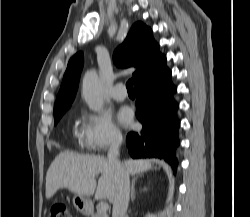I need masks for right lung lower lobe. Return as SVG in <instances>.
<instances>
[{
  "label": "right lung lower lobe",
  "mask_w": 250,
  "mask_h": 217,
  "mask_svg": "<svg viewBox=\"0 0 250 217\" xmlns=\"http://www.w3.org/2000/svg\"><path fill=\"white\" fill-rule=\"evenodd\" d=\"M136 117L143 125L140 132H130L126 144L133 158L157 157L172 168L178 161L175 150L179 145L177 118L178 103L173 95L176 87L171 82V71L164 56L148 73L134 83Z\"/></svg>",
  "instance_id": "right-lung-lower-lobe-1"
}]
</instances>
